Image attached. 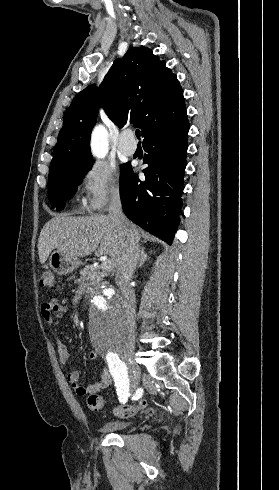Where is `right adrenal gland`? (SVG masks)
Segmentation results:
<instances>
[{
  "label": "right adrenal gland",
  "instance_id": "obj_1",
  "mask_svg": "<svg viewBox=\"0 0 279 490\" xmlns=\"http://www.w3.org/2000/svg\"><path fill=\"white\" fill-rule=\"evenodd\" d=\"M149 254H152V250H151V252H149ZM147 260H150V258L148 256V254H146L145 248H141V250H140V260H139L136 268H142L144 262H147ZM136 268H135V270H136Z\"/></svg>",
  "mask_w": 279,
  "mask_h": 490
}]
</instances>
